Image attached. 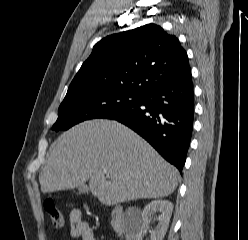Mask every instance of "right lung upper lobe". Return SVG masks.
Segmentation results:
<instances>
[{"instance_id":"obj_1","label":"right lung upper lobe","mask_w":248,"mask_h":240,"mask_svg":"<svg viewBox=\"0 0 248 240\" xmlns=\"http://www.w3.org/2000/svg\"><path fill=\"white\" fill-rule=\"evenodd\" d=\"M190 72L178 38L158 25L147 24L99 41L68 90L120 89L144 95Z\"/></svg>"}]
</instances>
